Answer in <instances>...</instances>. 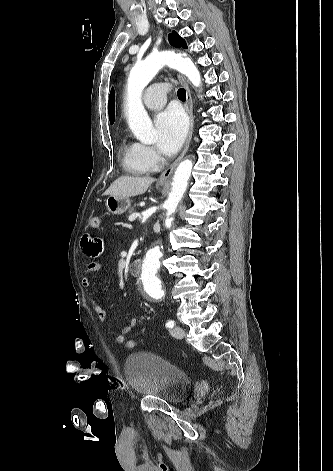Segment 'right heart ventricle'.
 Segmentation results:
<instances>
[{
  "instance_id": "e07e8e85",
  "label": "right heart ventricle",
  "mask_w": 333,
  "mask_h": 471,
  "mask_svg": "<svg viewBox=\"0 0 333 471\" xmlns=\"http://www.w3.org/2000/svg\"><path fill=\"white\" fill-rule=\"evenodd\" d=\"M122 162L125 169L135 175L147 174L151 171L140 159L136 143H129L125 139L120 145Z\"/></svg>"
}]
</instances>
